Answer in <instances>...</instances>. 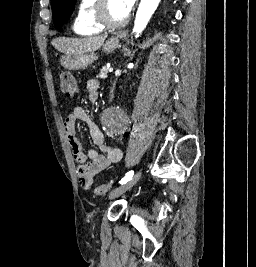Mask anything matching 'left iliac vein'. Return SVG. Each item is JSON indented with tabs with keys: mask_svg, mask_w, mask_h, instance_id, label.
I'll return each mask as SVG.
<instances>
[{
	"mask_svg": "<svg viewBox=\"0 0 256 267\" xmlns=\"http://www.w3.org/2000/svg\"><path fill=\"white\" fill-rule=\"evenodd\" d=\"M141 178V172H138L133 178L129 181L121 184L119 187L115 188L112 192L109 193L108 199L113 200L116 197L122 195L127 190L131 189Z\"/></svg>",
	"mask_w": 256,
	"mask_h": 267,
	"instance_id": "4c4485c4",
	"label": "left iliac vein"
}]
</instances>
